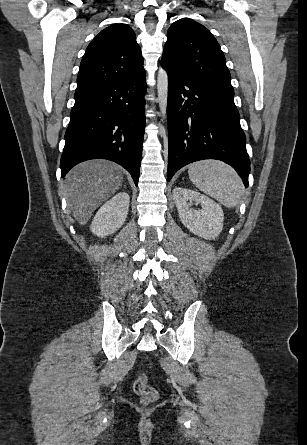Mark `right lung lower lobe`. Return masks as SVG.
I'll return each instance as SVG.
<instances>
[{
    "mask_svg": "<svg viewBox=\"0 0 307 445\" xmlns=\"http://www.w3.org/2000/svg\"><path fill=\"white\" fill-rule=\"evenodd\" d=\"M145 71L75 92L65 133L61 176L76 164L95 158L112 160L138 185L145 127Z\"/></svg>",
    "mask_w": 307,
    "mask_h": 445,
    "instance_id": "98d812e1",
    "label": "right lung lower lobe"
}]
</instances>
